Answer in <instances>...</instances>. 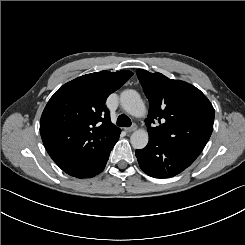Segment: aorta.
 Here are the masks:
<instances>
[{
  "instance_id": "1",
  "label": "aorta",
  "mask_w": 245,
  "mask_h": 245,
  "mask_svg": "<svg viewBox=\"0 0 245 245\" xmlns=\"http://www.w3.org/2000/svg\"><path fill=\"white\" fill-rule=\"evenodd\" d=\"M120 102L123 109L134 117H142L146 114V107L140 95L135 90H124L120 95ZM148 140V132L144 129L136 130L130 137L131 145L135 149L145 148Z\"/></svg>"
}]
</instances>
